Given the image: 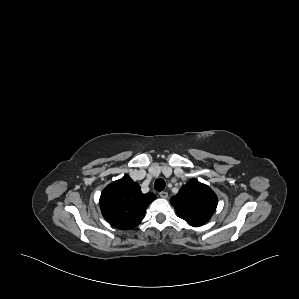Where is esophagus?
Returning <instances> with one entry per match:
<instances>
[{
    "label": "esophagus",
    "instance_id": "34e87169",
    "mask_svg": "<svg viewBox=\"0 0 299 299\" xmlns=\"http://www.w3.org/2000/svg\"><path fill=\"white\" fill-rule=\"evenodd\" d=\"M159 196L161 197V198H167L168 197V193L167 192H165V191H162V192H160L159 193Z\"/></svg>",
    "mask_w": 299,
    "mask_h": 299
}]
</instances>
